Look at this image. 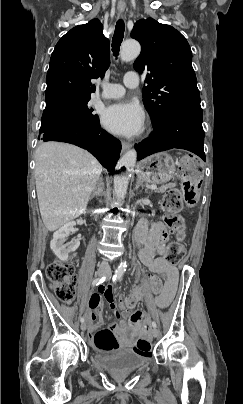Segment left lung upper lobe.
<instances>
[{
    "instance_id": "1",
    "label": "left lung upper lobe",
    "mask_w": 243,
    "mask_h": 404,
    "mask_svg": "<svg viewBox=\"0 0 243 404\" xmlns=\"http://www.w3.org/2000/svg\"><path fill=\"white\" fill-rule=\"evenodd\" d=\"M131 37L141 44L134 69L149 72L143 101L153 125L173 109L201 108L192 52L185 37L172 26L152 18L137 21Z\"/></svg>"
}]
</instances>
